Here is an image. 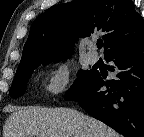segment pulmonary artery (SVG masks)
Here are the masks:
<instances>
[{
    "mask_svg": "<svg viewBox=\"0 0 144 137\" xmlns=\"http://www.w3.org/2000/svg\"><path fill=\"white\" fill-rule=\"evenodd\" d=\"M89 47L91 48V49H93L94 48V43L93 42H90L89 43ZM87 59H88V61L90 62V63H96L97 61H98V59H99V56H98V54L96 53V52H94V51H90L88 54H87Z\"/></svg>",
    "mask_w": 144,
    "mask_h": 137,
    "instance_id": "obj_1",
    "label": "pulmonary artery"
}]
</instances>
